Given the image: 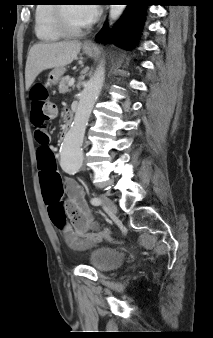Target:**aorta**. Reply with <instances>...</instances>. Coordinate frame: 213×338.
<instances>
[{"mask_svg": "<svg viewBox=\"0 0 213 338\" xmlns=\"http://www.w3.org/2000/svg\"><path fill=\"white\" fill-rule=\"evenodd\" d=\"M124 9V5H111L109 11L111 24L121 16ZM103 82L104 71L102 67H98L80 94L74 120L61 145L60 165L66 173H76L82 167L84 134Z\"/></svg>", "mask_w": 213, "mask_h": 338, "instance_id": "762f6f07", "label": "aorta"}]
</instances>
